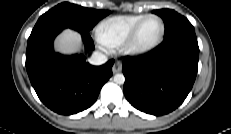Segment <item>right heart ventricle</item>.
Instances as JSON below:
<instances>
[{"mask_svg":"<svg viewBox=\"0 0 231 134\" xmlns=\"http://www.w3.org/2000/svg\"><path fill=\"white\" fill-rule=\"evenodd\" d=\"M146 15H119L103 20L97 27L100 42L115 48L124 44L136 24Z\"/></svg>","mask_w":231,"mask_h":134,"instance_id":"obj_1","label":"right heart ventricle"}]
</instances>
